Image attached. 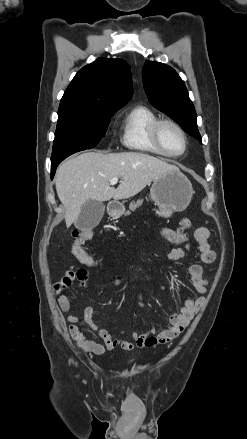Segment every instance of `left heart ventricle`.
<instances>
[{
  "instance_id": "1",
  "label": "left heart ventricle",
  "mask_w": 247,
  "mask_h": 439,
  "mask_svg": "<svg viewBox=\"0 0 247 439\" xmlns=\"http://www.w3.org/2000/svg\"><path fill=\"white\" fill-rule=\"evenodd\" d=\"M160 138L163 147L169 153L177 154L182 151L184 143L181 135L176 129L169 125L162 127Z\"/></svg>"
}]
</instances>
